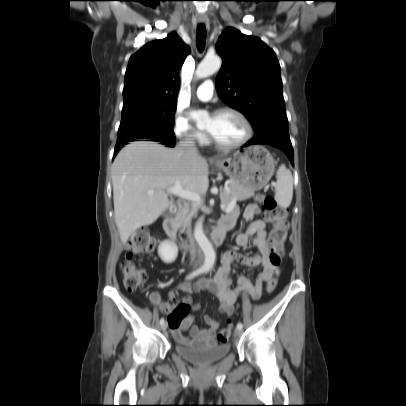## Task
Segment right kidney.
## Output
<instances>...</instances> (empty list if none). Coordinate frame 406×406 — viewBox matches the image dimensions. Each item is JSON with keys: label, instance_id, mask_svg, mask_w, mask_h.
Here are the masks:
<instances>
[{"label": "right kidney", "instance_id": "right-kidney-1", "mask_svg": "<svg viewBox=\"0 0 406 406\" xmlns=\"http://www.w3.org/2000/svg\"><path fill=\"white\" fill-rule=\"evenodd\" d=\"M158 254L165 263H172L177 258L178 249L170 241H164L158 247Z\"/></svg>", "mask_w": 406, "mask_h": 406}]
</instances>
